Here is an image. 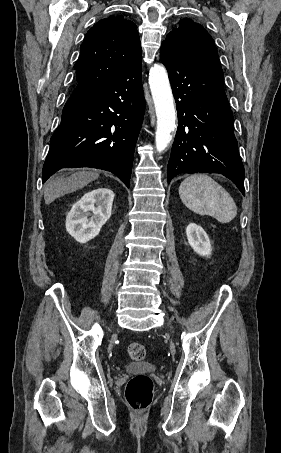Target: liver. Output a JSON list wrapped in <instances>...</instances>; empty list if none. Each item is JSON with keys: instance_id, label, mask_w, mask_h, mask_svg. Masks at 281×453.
Segmentation results:
<instances>
[{"instance_id": "6515ba94", "label": "liver", "mask_w": 281, "mask_h": 453, "mask_svg": "<svg viewBox=\"0 0 281 453\" xmlns=\"http://www.w3.org/2000/svg\"><path fill=\"white\" fill-rule=\"evenodd\" d=\"M99 172H93V170H78L70 176H62V178H49L44 186V200L45 204H50L58 196L68 194V192H74L78 188H83L92 180L98 178Z\"/></svg>"}]
</instances>
